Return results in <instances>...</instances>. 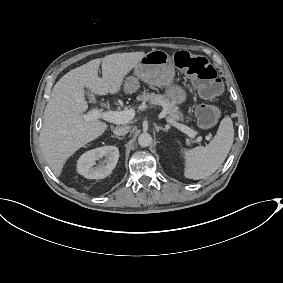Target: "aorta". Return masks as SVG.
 <instances>
[{"label":"aorta","instance_id":"1","mask_svg":"<svg viewBox=\"0 0 283 283\" xmlns=\"http://www.w3.org/2000/svg\"><path fill=\"white\" fill-rule=\"evenodd\" d=\"M152 142V137L149 133H141L138 137V144L141 147H148Z\"/></svg>","mask_w":283,"mask_h":283}]
</instances>
